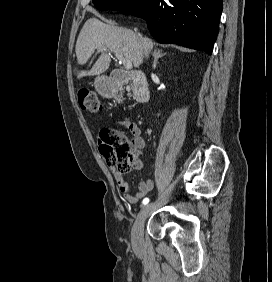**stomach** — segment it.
<instances>
[{"instance_id": "0dacf381", "label": "stomach", "mask_w": 272, "mask_h": 282, "mask_svg": "<svg viewBox=\"0 0 272 282\" xmlns=\"http://www.w3.org/2000/svg\"><path fill=\"white\" fill-rule=\"evenodd\" d=\"M106 78L105 77H97L95 80L96 89L100 93H104L106 90Z\"/></svg>"}]
</instances>
